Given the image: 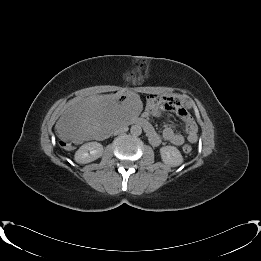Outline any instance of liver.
I'll return each instance as SVG.
<instances>
[{
	"mask_svg": "<svg viewBox=\"0 0 261 261\" xmlns=\"http://www.w3.org/2000/svg\"><path fill=\"white\" fill-rule=\"evenodd\" d=\"M139 96L130 93L94 95L81 99L59 118L55 130L60 139L81 143L102 133H118L140 112Z\"/></svg>",
	"mask_w": 261,
	"mask_h": 261,
	"instance_id": "obj_1",
	"label": "liver"
}]
</instances>
